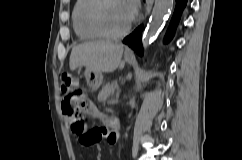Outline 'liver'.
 Listing matches in <instances>:
<instances>
[{"label":"liver","mask_w":242,"mask_h":160,"mask_svg":"<svg viewBox=\"0 0 242 160\" xmlns=\"http://www.w3.org/2000/svg\"><path fill=\"white\" fill-rule=\"evenodd\" d=\"M124 46L106 41L87 42L73 47L69 66L72 71L86 67V71L114 72L121 64Z\"/></svg>","instance_id":"liver-1"}]
</instances>
